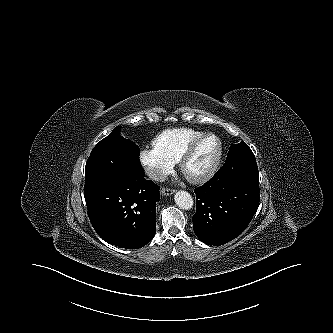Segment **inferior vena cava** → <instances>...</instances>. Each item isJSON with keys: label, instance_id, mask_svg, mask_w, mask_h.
I'll return each instance as SVG.
<instances>
[{"label": "inferior vena cava", "instance_id": "602c4592", "mask_svg": "<svg viewBox=\"0 0 333 333\" xmlns=\"http://www.w3.org/2000/svg\"><path fill=\"white\" fill-rule=\"evenodd\" d=\"M147 175L155 180V181H159V182H163L166 180V177H167V174L160 170V169H155V168H151V169H148L147 171Z\"/></svg>", "mask_w": 333, "mask_h": 333}]
</instances>
